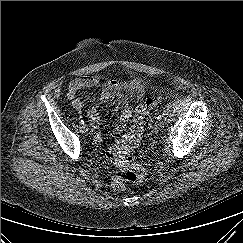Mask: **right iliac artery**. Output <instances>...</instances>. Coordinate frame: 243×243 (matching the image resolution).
I'll return each mask as SVG.
<instances>
[{
	"instance_id": "right-iliac-artery-1",
	"label": "right iliac artery",
	"mask_w": 243,
	"mask_h": 243,
	"mask_svg": "<svg viewBox=\"0 0 243 243\" xmlns=\"http://www.w3.org/2000/svg\"><path fill=\"white\" fill-rule=\"evenodd\" d=\"M79 124L80 125H83L84 124V121L81 119V120H79Z\"/></svg>"
}]
</instances>
